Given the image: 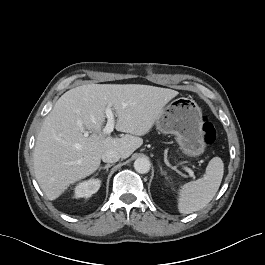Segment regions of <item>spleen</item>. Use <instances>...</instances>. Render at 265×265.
I'll return each instance as SVG.
<instances>
[{"label":"spleen","instance_id":"obj_1","mask_svg":"<svg viewBox=\"0 0 265 265\" xmlns=\"http://www.w3.org/2000/svg\"><path fill=\"white\" fill-rule=\"evenodd\" d=\"M224 174L220 157L212 158L203 177L181 186L178 192V210L190 214L207 206L218 191Z\"/></svg>","mask_w":265,"mask_h":265}]
</instances>
